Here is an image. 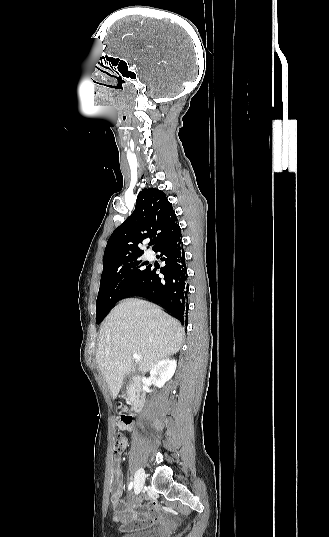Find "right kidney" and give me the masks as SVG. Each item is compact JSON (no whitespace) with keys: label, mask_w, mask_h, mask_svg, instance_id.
Returning <instances> with one entry per match:
<instances>
[{"label":"right kidney","mask_w":329,"mask_h":537,"mask_svg":"<svg viewBox=\"0 0 329 537\" xmlns=\"http://www.w3.org/2000/svg\"><path fill=\"white\" fill-rule=\"evenodd\" d=\"M176 366L174 359L161 360L150 371V379L156 386L163 387L174 375Z\"/></svg>","instance_id":"ca27d5eb"}]
</instances>
